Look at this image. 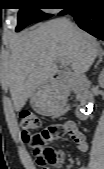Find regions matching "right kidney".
Returning a JSON list of instances; mask_svg holds the SVG:
<instances>
[{
  "instance_id": "ca27d5eb",
  "label": "right kidney",
  "mask_w": 104,
  "mask_h": 169,
  "mask_svg": "<svg viewBox=\"0 0 104 169\" xmlns=\"http://www.w3.org/2000/svg\"><path fill=\"white\" fill-rule=\"evenodd\" d=\"M103 82H104V70H102L99 75V83L103 84Z\"/></svg>"
}]
</instances>
